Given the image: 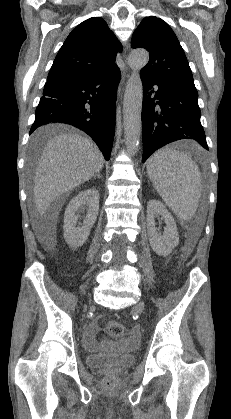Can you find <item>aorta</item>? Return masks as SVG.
<instances>
[{
  "instance_id": "762f6f07",
  "label": "aorta",
  "mask_w": 231,
  "mask_h": 419,
  "mask_svg": "<svg viewBox=\"0 0 231 419\" xmlns=\"http://www.w3.org/2000/svg\"><path fill=\"white\" fill-rule=\"evenodd\" d=\"M148 61L149 53L145 49L132 51L128 58V64L132 73L128 79L124 94L123 126L125 144L130 155H134L137 152L140 144L143 101V86L140 71L146 66Z\"/></svg>"
}]
</instances>
